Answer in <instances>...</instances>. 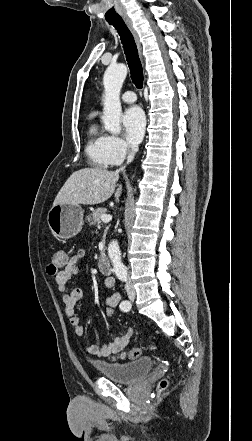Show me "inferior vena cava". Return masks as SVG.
Instances as JSON below:
<instances>
[{"label":"inferior vena cava","mask_w":252,"mask_h":441,"mask_svg":"<svg viewBox=\"0 0 252 441\" xmlns=\"http://www.w3.org/2000/svg\"><path fill=\"white\" fill-rule=\"evenodd\" d=\"M135 155V151L132 149V151L129 153L128 157H127V163L131 162L134 158ZM125 167H122L120 169L117 170V172L119 171H123ZM125 289L127 292H134V288L133 285L131 284L130 281H128L125 285Z\"/></svg>","instance_id":"1"}]
</instances>
